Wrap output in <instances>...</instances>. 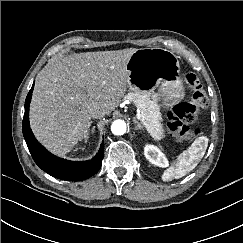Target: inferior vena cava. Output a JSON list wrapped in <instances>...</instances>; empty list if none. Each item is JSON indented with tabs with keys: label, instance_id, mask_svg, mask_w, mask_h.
I'll list each match as a JSON object with an SVG mask.
<instances>
[{
	"label": "inferior vena cava",
	"instance_id": "602c4592",
	"mask_svg": "<svg viewBox=\"0 0 243 243\" xmlns=\"http://www.w3.org/2000/svg\"><path fill=\"white\" fill-rule=\"evenodd\" d=\"M90 114L93 118H101L106 115V110L102 106L94 105L90 109Z\"/></svg>",
	"mask_w": 243,
	"mask_h": 243
}]
</instances>
